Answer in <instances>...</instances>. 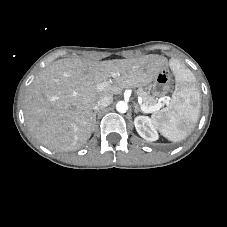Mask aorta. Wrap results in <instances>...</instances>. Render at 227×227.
<instances>
[{"label": "aorta", "instance_id": "obj_1", "mask_svg": "<svg viewBox=\"0 0 227 227\" xmlns=\"http://www.w3.org/2000/svg\"><path fill=\"white\" fill-rule=\"evenodd\" d=\"M116 110L119 112V113H125L127 112L128 110V105L126 102L124 101H119L117 104H116Z\"/></svg>", "mask_w": 227, "mask_h": 227}]
</instances>
